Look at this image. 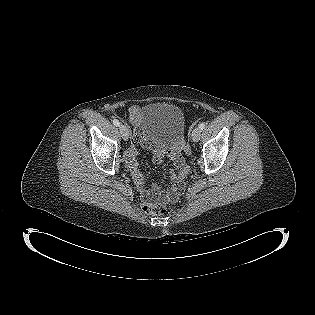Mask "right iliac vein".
Here are the masks:
<instances>
[{
	"label": "right iliac vein",
	"mask_w": 315,
	"mask_h": 315,
	"mask_svg": "<svg viewBox=\"0 0 315 315\" xmlns=\"http://www.w3.org/2000/svg\"><path fill=\"white\" fill-rule=\"evenodd\" d=\"M119 130L122 138L127 141L129 139V129L125 125H120Z\"/></svg>",
	"instance_id": "obj_1"
}]
</instances>
